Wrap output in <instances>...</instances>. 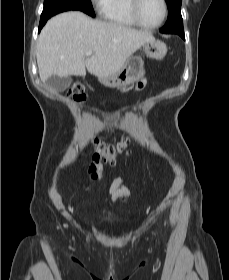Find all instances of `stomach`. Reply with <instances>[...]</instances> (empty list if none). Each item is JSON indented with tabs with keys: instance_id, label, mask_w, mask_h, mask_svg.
<instances>
[{
	"instance_id": "0dacf381",
	"label": "stomach",
	"mask_w": 229,
	"mask_h": 280,
	"mask_svg": "<svg viewBox=\"0 0 229 280\" xmlns=\"http://www.w3.org/2000/svg\"><path fill=\"white\" fill-rule=\"evenodd\" d=\"M144 53L147 57L160 60L167 53L166 45L158 40L147 42L143 45ZM145 74L142 57H130L124 66L116 73L98 77L101 84L109 88H121L139 81Z\"/></svg>"
}]
</instances>
